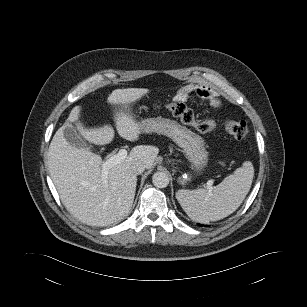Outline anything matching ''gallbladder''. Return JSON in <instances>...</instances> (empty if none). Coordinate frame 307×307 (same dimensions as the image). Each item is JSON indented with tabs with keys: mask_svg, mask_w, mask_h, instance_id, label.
Listing matches in <instances>:
<instances>
[{
	"mask_svg": "<svg viewBox=\"0 0 307 307\" xmlns=\"http://www.w3.org/2000/svg\"><path fill=\"white\" fill-rule=\"evenodd\" d=\"M64 137L72 146L91 149V146L85 139L78 135L76 130L71 125L66 126L64 129Z\"/></svg>",
	"mask_w": 307,
	"mask_h": 307,
	"instance_id": "1",
	"label": "gallbladder"
}]
</instances>
